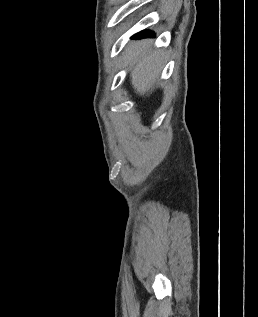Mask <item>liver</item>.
<instances>
[{"label":"liver","mask_w":258,"mask_h":317,"mask_svg":"<svg viewBox=\"0 0 258 317\" xmlns=\"http://www.w3.org/2000/svg\"><path fill=\"white\" fill-rule=\"evenodd\" d=\"M151 40H138L128 42L126 54H124V66L131 70V82L137 92L145 94L153 88L156 78L163 68L164 52L162 50H150Z\"/></svg>","instance_id":"liver-1"}]
</instances>
